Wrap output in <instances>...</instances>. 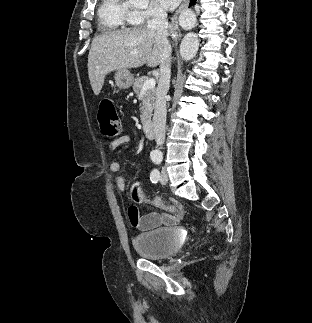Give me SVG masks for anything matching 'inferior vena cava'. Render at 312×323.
Segmentation results:
<instances>
[{
  "mask_svg": "<svg viewBox=\"0 0 312 323\" xmlns=\"http://www.w3.org/2000/svg\"><path fill=\"white\" fill-rule=\"evenodd\" d=\"M148 28L156 30L161 46L160 78L158 82L155 112L153 118V130L157 146H163L166 126V96L170 86L172 48L168 40L167 14L162 8H155L151 20L147 22Z\"/></svg>",
  "mask_w": 312,
  "mask_h": 323,
  "instance_id": "inferior-vena-cava-1",
  "label": "inferior vena cava"
}]
</instances>
